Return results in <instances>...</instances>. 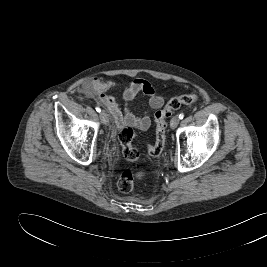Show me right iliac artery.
I'll use <instances>...</instances> for the list:
<instances>
[{"instance_id":"82829eb1","label":"right iliac artery","mask_w":267,"mask_h":267,"mask_svg":"<svg viewBox=\"0 0 267 267\" xmlns=\"http://www.w3.org/2000/svg\"><path fill=\"white\" fill-rule=\"evenodd\" d=\"M97 112H101V109L99 107H96Z\"/></svg>"}]
</instances>
